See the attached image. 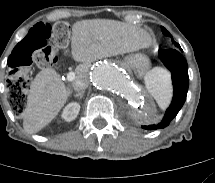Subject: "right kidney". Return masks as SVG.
Segmentation results:
<instances>
[{
    "label": "right kidney",
    "mask_w": 215,
    "mask_h": 183,
    "mask_svg": "<svg viewBox=\"0 0 215 183\" xmlns=\"http://www.w3.org/2000/svg\"><path fill=\"white\" fill-rule=\"evenodd\" d=\"M79 111H80V104L77 102H71L63 109L61 117L65 121L70 122L77 117Z\"/></svg>",
    "instance_id": "right-kidney-1"
}]
</instances>
